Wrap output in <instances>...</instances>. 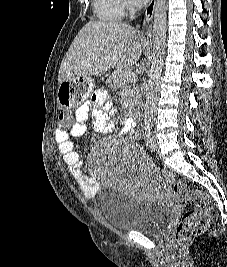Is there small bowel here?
Wrapping results in <instances>:
<instances>
[{"mask_svg": "<svg viewBox=\"0 0 227 267\" xmlns=\"http://www.w3.org/2000/svg\"><path fill=\"white\" fill-rule=\"evenodd\" d=\"M112 111V105L107 100V95L104 92H98L92 103L84 104L76 109L75 122L70 130L57 129L55 132V140L59 151L70 168L71 175L87 198H94L96 196L98 191L97 183L84 171L83 162L76 151L78 144L72 141V139H77L84 135L87 129L86 121L90 117L94 118V127L98 131L104 133L111 131L114 125L109 122L108 116ZM136 127V120L134 118H127L121 127V131L134 135ZM153 191V187L144 185L138 189L137 195L146 197L151 195Z\"/></svg>", "mask_w": 227, "mask_h": 267, "instance_id": "1", "label": "small bowel"}]
</instances>
